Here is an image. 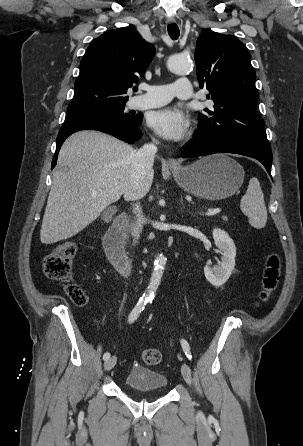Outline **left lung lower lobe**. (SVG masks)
Instances as JSON below:
<instances>
[{"instance_id":"1","label":"left lung lower lobe","mask_w":303,"mask_h":446,"mask_svg":"<svg viewBox=\"0 0 303 446\" xmlns=\"http://www.w3.org/2000/svg\"><path fill=\"white\" fill-rule=\"evenodd\" d=\"M194 139L182 147V157H198L215 153H234L260 161L271 176L272 152L268 142L235 139L231 136L211 137L194 134Z\"/></svg>"}]
</instances>
